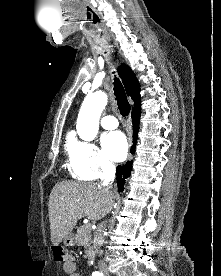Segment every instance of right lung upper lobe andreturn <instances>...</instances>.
Segmentation results:
<instances>
[{"instance_id":"obj_1","label":"right lung upper lobe","mask_w":221,"mask_h":276,"mask_svg":"<svg viewBox=\"0 0 221 276\" xmlns=\"http://www.w3.org/2000/svg\"><path fill=\"white\" fill-rule=\"evenodd\" d=\"M119 75L123 81L126 92L128 96L134 101V108H139L141 106L140 102V85L135 77V74L131 68L125 64L118 67Z\"/></svg>"}]
</instances>
